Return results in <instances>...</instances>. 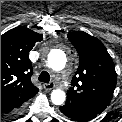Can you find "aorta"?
Here are the masks:
<instances>
[{
    "mask_svg": "<svg viewBox=\"0 0 122 122\" xmlns=\"http://www.w3.org/2000/svg\"><path fill=\"white\" fill-rule=\"evenodd\" d=\"M66 55L61 50H53L48 55L49 67L55 71L62 70L66 65ZM66 100V94L61 89H55L51 93V101L55 105H61Z\"/></svg>",
    "mask_w": 122,
    "mask_h": 122,
    "instance_id": "762f6f07",
    "label": "aorta"
}]
</instances>
